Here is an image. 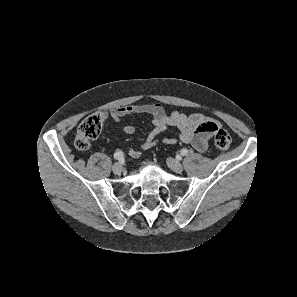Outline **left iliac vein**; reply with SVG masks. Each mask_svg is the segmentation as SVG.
Instances as JSON below:
<instances>
[{"label": "left iliac vein", "instance_id": "4c4485c4", "mask_svg": "<svg viewBox=\"0 0 297 297\" xmlns=\"http://www.w3.org/2000/svg\"><path fill=\"white\" fill-rule=\"evenodd\" d=\"M167 164L176 173H181L183 171V166L173 158H168Z\"/></svg>", "mask_w": 297, "mask_h": 297}]
</instances>
